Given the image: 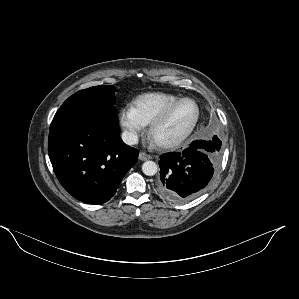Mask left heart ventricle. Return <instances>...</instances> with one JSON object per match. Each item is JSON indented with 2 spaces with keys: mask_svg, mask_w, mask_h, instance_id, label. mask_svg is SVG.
<instances>
[{
  "mask_svg": "<svg viewBox=\"0 0 299 299\" xmlns=\"http://www.w3.org/2000/svg\"><path fill=\"white\" fill-rule=\"evenodd\" d=\"M196 115V107L191 101L179 104L168 119L155 132V139L167 141L183 134L191 125Z\"/></svg>",
  "mask_w": 299,
  "mask_h": 299,
  "instance_id": "1",
  "label": "left heart ventricle"
}]
</instances>
